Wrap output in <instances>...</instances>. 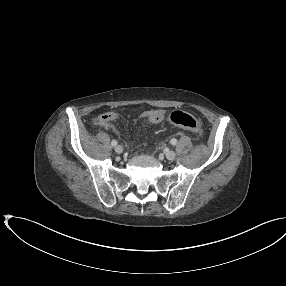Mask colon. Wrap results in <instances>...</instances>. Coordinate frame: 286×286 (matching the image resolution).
Returning a JSON list of instances; mask_svg holds the SVG:
<instances>
[{
    "label": "colon",
    "instance_id": "1",
    "mask_svg": "<svg viewBox=\"0 0 286 286\" xmlns=\"http://www.w3.org/2000/svg\"><path fill=\"white\" fill-rule=\"evenodd\" d=\"M169 121L175 126L190 130L195 133L200 132L201 129L200 121L196 117L186 112H172L169 116Z\"/></svg>",
    "mask_w": 286,
    "mask_h": 286
}]
</instances>
